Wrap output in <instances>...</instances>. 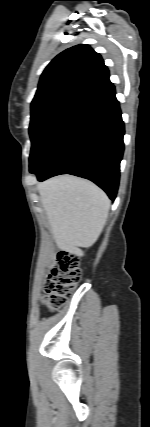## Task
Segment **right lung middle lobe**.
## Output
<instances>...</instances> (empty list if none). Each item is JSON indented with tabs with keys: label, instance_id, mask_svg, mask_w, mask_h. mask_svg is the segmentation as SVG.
<instances>
[{
	"label": "right lung middle lobe",
	"instance_id": "1",
	"mask_svg": "<svg viewBox=\"0 0 150 427\" xmlns=\"http://www.w3.org/2000/svg\"><path fill=\"white\" fill-rule=\"evenodd\" d=\"M80 108L56 105L31 112L30 172L34 173L54 141Z\"/></svg>",
	"mask_w": 150,
	"mask_h": 427
}]
</instances>
